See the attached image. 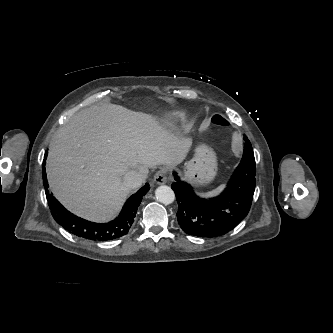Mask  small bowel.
Returning a JSON list of instances; mask_svg holds the SVG:
<instances>
[{"mask_svg":"<svg viewBox=\"0 0 333 333\" xmlns=\"http://www.w3.org/2000/svg\"><path fill=\"white\" fill-rule=\"evenodd\" d=\"M232 153L235 156H240L243 153L242 138L239 135H234L231 138Z\"/></svg>","mask_w":333,"mask_h":333,"instance_id":"c3829d8e","label":"small bowel"}]
</instances>
